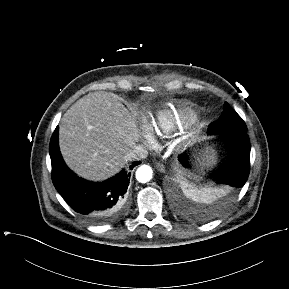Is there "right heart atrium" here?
<instances>
[{
  "mask_svg": "<svg viewBox=\"0 0 289 289\" xmlns=\"http://www.w3.org/2000/svg\"><path fill=\"white\" fill-rule=\"evenodd\" d=\"M142 137L143 141L148 147H153L156 144L155 138L152 134V132L147 128L146 126L143 127V132H142Z\"/></svg>",
  "mask_w": 289,
  "mask_h": 289,
  "instance_id": "d8ad5b80",
  "label": "right heart atrium"
}]
</instances>
